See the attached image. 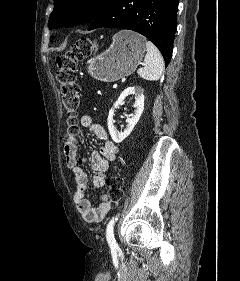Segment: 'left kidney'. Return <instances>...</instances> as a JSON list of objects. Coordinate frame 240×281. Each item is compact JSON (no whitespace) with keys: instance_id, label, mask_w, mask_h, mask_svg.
I'll list each match as a JSON object with an SVG mask.
<instances>
[{"instance_id":"5707ae66","label":"left kidney","mask_w":240,"mask_h":281,"mask_svg":"<svg viewBox=\"0 0 240 281\" xmlns=\"http://www.w3.org/2000/svg\"><path fill=\"white\" fill-rule=\"evenodd\" d=\"M129 95H135V103H134L135 114L133 115V117L128 118L126 120L127 122L126 129L123 132H119L116 130L114 126V120H113L114 110L115 108L119 107V105L123 104L125 98ZM143 109H144V94H143V89L141 87H128L120 94L118 100L114 103L113 107L109 111L108 122H107L109 133L112 137V140L115 143L122 142L126 137L130 135L133 128L139 121Z\"/></svg>"}]
</instances>
